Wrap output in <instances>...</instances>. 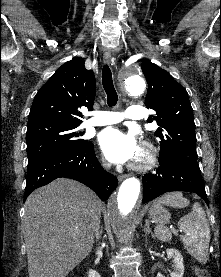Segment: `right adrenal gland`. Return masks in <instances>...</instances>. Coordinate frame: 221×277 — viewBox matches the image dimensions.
I'll return each instance as SVG.
<instances>
[{
	"instance_id": "2a0ac1e0",
	"label": "right adrenal gland",
	"mask_w": 221,
	"mask_h": 277,
	"mask_svg": "<svg viewBox=\"0 0 221 277\" xmlns=\"http://www.w3.org/2000/svg\"><path fill=\"white\" fill-rule=\"evenodd\" d=\"M102 233V228H101V230H100V234Z\"/></svg>"
}]
</instances>
